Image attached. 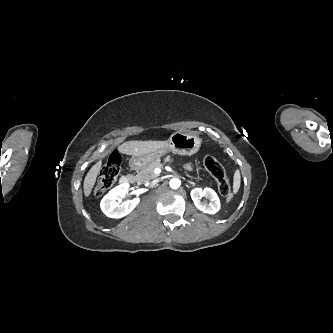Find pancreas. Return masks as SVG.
<instances>
[{
  "mask_svg": "<svg viewBox=\"0 0 333 333\" xmlns=\"http://www.w3.org/2000/svg\"><path fill=\"white\" fill-rule=\"evenodd\" d=\"M164 162H173V158L168 155L164 158ZM162 165L161 160L157 159L144 166L136 175L137 182L142 184L157 178L158 175L154 173V169Z\"/></svg>",
  "mask_w": 333,
  "mask_h": 333,
  "instance_id": "pancreas-1",
  "label": "pancreas"
}]
</instances>
